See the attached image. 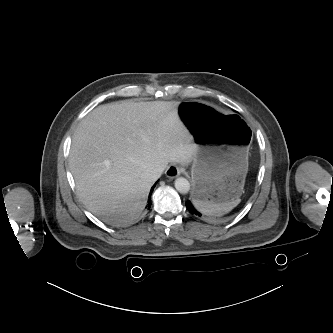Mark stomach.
<instances>
[{
  "label": "stomach",
  "instance_id": "obj_1",
  "mask_svg": "<svg viewBox=\"0 0 333 333\" xmlns=\"http://www.w3.org/2000/svg\"><path fill=\"white\" fill-rule=\"evenodd\" d=\"M178 114L181 128L197 145L191 168L193 198L217 204L239 200L253 139L250 128L238 115L196 100L179 104Z\"/></svg>",
  "mask_w": 333,
  "mask_h": 333
}]
</instances>
